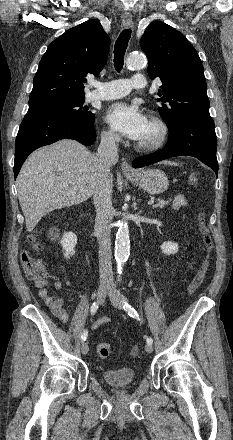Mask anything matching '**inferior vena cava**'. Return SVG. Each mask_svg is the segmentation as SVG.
Wrapping results in <instances>:
<instances>
[{
  "label": "inferior vena cava",
  "instance_id": "obj_1",
  "mask_svg": "<svg viewBox=\"0 0 233 440\" xmlns=\"http://www.w3.org/2000/svg\"><path fill=\"white\" fill-rule=\"evenodd\" d=\"M119 140L120 138L114 133H106L101 136L97 154L101 176L93 196L96 208L94 232L99 243L100 283L109 286L114 285L110 236L113 217L111 167L118 161Z\"/></svg>",
  "mask_w": 233,
  "mask_h": 440
}]
</instances>
